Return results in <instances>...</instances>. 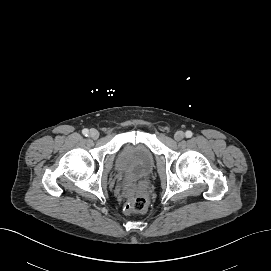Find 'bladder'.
Here are the masks:
<instances>
[{
  "mask_svg": "<svg viewBox=\"0 0 271 271\" xmlns=\"http://www.w3.org/2000/svg\"><path fill=\"white\" fill-rule=\"evenodd\" d=\"M155 164L154 153L144 142H124L117 152L116 166L130 183L147 177Z\"/></svg>",
  "mask_w": 271,
  "mask_h": 271,
  "instance_id": "obj_1",
  "label": "bladder"
}]
</instances>
